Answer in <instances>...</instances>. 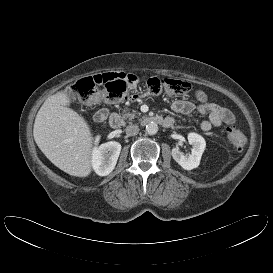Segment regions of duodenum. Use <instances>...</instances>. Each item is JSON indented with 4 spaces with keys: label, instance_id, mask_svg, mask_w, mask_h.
Listing matches in <instances>:
<instances>
[{
    "label": "duodenum",
    "instance_id": "410a0bca",
    "mask_svg": "<svg viewBox=\"0 0 273 273\" xmlns=\"http://www.w3.org/2000/svg\"><path fill=\"white\" fill-rule=\"evenodd\" d=\"M102 113L99 114L101 116ZM107 121L110 125V127L117 129L120 127L121 124V118L118 113L111 112L108 117ZM143 125H161L164 127H170L173 125V121L169 120L167 118H162L160 116H152V117H146L142 120Z\"/></svg>",
    "mask_w": 273,
    "mask_h": 273
}]
</instances>
